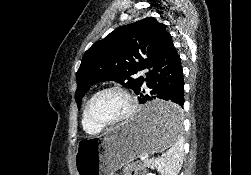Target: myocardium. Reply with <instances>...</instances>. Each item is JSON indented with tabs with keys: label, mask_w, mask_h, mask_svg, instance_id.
Here are the masks:
<instances>
[{
	"label": "myocardium",
	"mask_w": 251,
	"mask_h": 175,
	"mask_svg": "<svg viewBox=\"0 0 251 175\" xmlns=\"http://www.w3.org/2000/svg\"><path fill=\"white\" fill-rule=\"evenodd\" d=\"M111 90H117L122 92L127 100L128 103V110L126 112V114L124 115L123 118H121L120 120L114 122V123H104L96 118H94L92 116L91 113V107L93 102L95 101V99L102 93L106 92V91H111ZM136 110H137V105L136 102L133 98V96L130 94V92L125 89L124 87L120 86V85H109L106 86L98 91H96L91 97L90 99L87 101L86 106H85V115L87 120L94 126L101 128V129H109V128H115L118 127L126 122H128L129 120H131L135 114H136Z\"/></svg>",
	"instance_id": "myocardium-1"
}]
</instances>
